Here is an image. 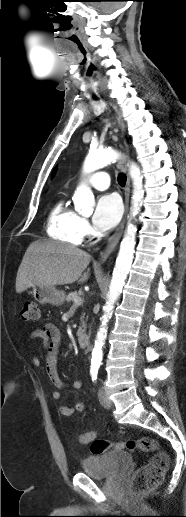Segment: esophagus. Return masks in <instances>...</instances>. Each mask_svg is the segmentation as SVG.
<instances>
[{
    "label": "esophagus",
    "mask_w": 186,
    "mask_h": 517,
    "mask_svg": "<svg viewBox=\"0 0 186 517\" xmlns=\"http://www.w3.org/2000/svg\"><path fill=\"white\" fill-rule=\"evenodd\" d=\"M111 105H112V107H113V109L115 111V115H116L119 127L121 128L123 135H125V124H124V122H123V120L121 118V115L118 112L117 107L115 105H113V104H111ZM126 153H128V145L127 144H126ZM130 187H131V185H130V177H129V175H127V181H126V187H125V212H124V216H123V219H122L120 225L116 229V231L108 239L104 251L101 252L100 257L98 259V263L99 264H103L107 260L109 255L116 248V246L119 243V240H120V238L122 236L124 225H125V221H126V216H127V213H128V207H129Z\"/></svg>",
    "instance_id": "1"
}]
</instances>
